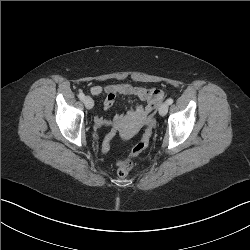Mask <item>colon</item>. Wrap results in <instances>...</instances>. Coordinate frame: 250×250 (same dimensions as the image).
I'll return each mask as SVG.
<instances>
[{
    "mask_svg": "<svg viewBox=\"0 0 250 250\" xmlns=\"http://www.w3.org/2000/svg\"><path fill=\"white\" fill-rule=\"evenodd\" d=\"M163 91L158 90L156 96V104L158 105L163 99ZM155 120L153 117H149L146 121V128L143 133L141 140L132 148L131 153L118 162V175L119 177H125L134 167L135 158L139 156L149 145L150 138L152 135V129L154 127ZM117 131V126H112V129L107 132V134L103 137V142L101 143L102 155H107L109 151V147L114 141V137Z\"/></svg>",
    "mask_w": 250,
    "mask_h": 250,
    "instance_id": "1",
    "label": "colon"
}]
</instances>
